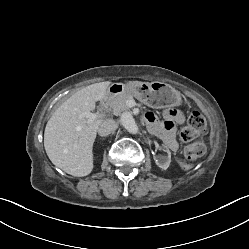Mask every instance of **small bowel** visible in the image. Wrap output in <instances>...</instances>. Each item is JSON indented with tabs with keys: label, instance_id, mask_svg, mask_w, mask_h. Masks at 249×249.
Instances as JSON below:
<instances>
[{
	"label": "small bowel",
	"instance_id": "small-bowel-1",
	"mask_svg": "<svg viewBox=\"0 0 249 249\" xmlns=\"http://www.w3.org/2000/svg\"><path fill=\"white\" fill-rule=\"evenodd\" d=\"M163 116L165 119L164 124H163V128L165 131V137L173 147H176L171 141V132L173 131L176 123L183 122V116L179 111L172 110V109L164 111ZM146 120L152 128L154 129L158 128L157 119L153 112H148L146 114Z\"/></svg>",
	"mask_w": 249,
	"mask_h": 249
}]
</instances>
